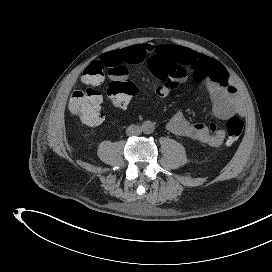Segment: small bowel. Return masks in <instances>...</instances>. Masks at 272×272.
Masks as SVG:
<instances>
[{
	"label": "small bowel",
	"mask_w": 272,
	"mask_h": 272,
	"mask_svg": "<svg viewBox=\"0 0 272 272\" xmlns=\"http://www.w3.org/2000/svg\"><path fill=\"white\" fill-rule=\"evenodd\" d=\"M99 61L108 68L120 66L126 70V65L148 61L152 73L159 80L155 90L159 97L169 95L192 77L195 82L205 85L217 118L225 120L235 114H244L242 98L226 68L205 54L186 47L173 44H136L109 51ZM167 127L176 135L215 148L222 146L226 137L225 131L218 129L214 123L209 126L193 123L182 113L174 114Z\"/></svg>",
	"instance_id": "1"
}]
</instances>
